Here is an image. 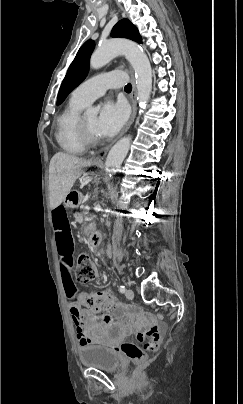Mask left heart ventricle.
I'll use <instances>...</instances> for the list:
<instances>
[{"instance_id":"b2bd125f","label":"left heart ventricle","mask_w":243,"mask_h":404,"mask_svg":"<svg viewBox=\"0 0 243 404\" xmlns=\"http://www.w3.org/2000/svg\"><path fill=\"white\" fill-rule=\"evenodd\" d=\"M83 125L85 129L92 135H95V117L82 118Z\"/></svg>"}]
</instances>
